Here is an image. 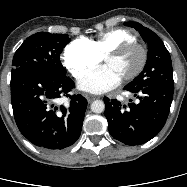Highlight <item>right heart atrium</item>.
<instances>
[{
    "label": "right heart atrium",
    "instance_id": "1",
    "mask_svg": "<svg viewBox=\"0 0 187 187\" xmlns=\"http://www.w3.org/2000/svg\"><path fill=\"white\" fill-rule=\"evenodd\" d=\"M101 60L85 38L70 42L64 49L63 62L76 78L95 67Z\"/></svg>",
    "mask_w": 187,
    "mask_h": 187
}]
</instances>
